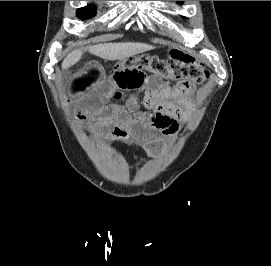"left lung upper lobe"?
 <instances>
[{
  "label": "left lung upper lobe",
  "mask_w": 271,
  "mask_h": 266,
  "mask_svg": "<svg viewBox=\"0 0 271 266\" xmlns=\"http://www.w3.org/2000/svg\"><path fill=\"white\" fill-rule=\"evenodd\" d=\"M178 3H179V4H182V3H183V1H178Z\"/></svg>",
  "instance_id": "5c2ea615"
}]
</instances>
